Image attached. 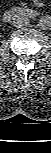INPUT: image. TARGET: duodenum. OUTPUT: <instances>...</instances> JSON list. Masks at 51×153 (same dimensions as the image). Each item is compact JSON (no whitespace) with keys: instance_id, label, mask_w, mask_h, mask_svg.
<instances>
[{"instance_id":"duodenum-1","label":"duodenum","mask_w":51,"mask_h":153,"mask_svg":"<svg viewBox=\"0 0 51 153\" xmlns=\"http://www.w3.org/2000/svg\"><path fill=\"white\" fill-rule=\"evenodd\" d=\"M37 15V12L34 9L27 8H11L4 12L3 19L4 21H10L16 17H34Z\"/></svg>"}]
</instances>
